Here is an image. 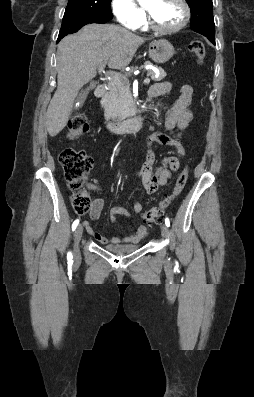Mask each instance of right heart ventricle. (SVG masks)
I'll return each instance as SVG.
<instances>
[{
  "instance_id": "e07e8e85",
  "label": "right heart ventricle",
  "mask_w": 254,
  "mask_h": 397,
  "mask_svg": "<svg viewBox=\"0 0 254 397\" xmlns=\"http://www.w3.org/2000/svg\"><path fill=\"white\" fill-rule=\"evenodd\" d=\"M139 27H142V28H145V25H144V23H142Z\"/></svg>"
}]
</instances>
